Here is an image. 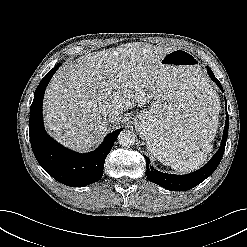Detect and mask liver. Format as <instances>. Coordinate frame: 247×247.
<instances>
[{
	"label": "liver",
	"instance_id": "obj_1",
	"mask_svg": "<svg viewBox=\"0 0 247 247\" xmlns=\"http://www.w3.org/2000/svg\"><path fill=\"white\" fill-rule=\"evenodd\" d=\"M171 48L135 42L85 54L57 70L46 89V126L58 142L78 152L96 146L109 123L149 102L163 85L161 59ZM115 111L118 121L109 122Z\"/></svg>",
	"mask_w": 247,
	"mask_h": 247
}]
</instances>
